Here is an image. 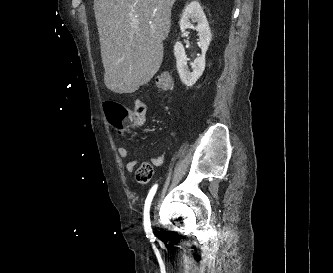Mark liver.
Listing matches in <instances>:
<instances>
[{
  "label": "liver",
  "instance_id": "obj_1",
  "mask_svg": "<svg viewBox=\"0 0 333 273\" xmlns=\"http://www.w3.org/2000/svg\"><path fill=\"white\" fill-rule=\"evenodd\" d=\"M175 1L94 0L104 83L109 90L133 93L158 72Z\"/></svg>",
  "mask_w": 333,
  "mask_h": 273
}]
</instances>
